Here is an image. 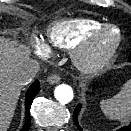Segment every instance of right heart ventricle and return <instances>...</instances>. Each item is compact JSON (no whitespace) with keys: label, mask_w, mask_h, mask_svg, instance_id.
<instances>
[{"label":"right heart ventricle","mask_w":131,"mask_h":131,"mask_svg":"<svg viewBox=\"0 0 131 131\" xmlns=\"http://www.w3.org/2000/svg\"><path fill=\"white\" fill-rule=\"evenodd\" d=\"M104 23L90 18L63 19L52 23L47 29L50 46L70 50L78 45L90 32Z\"/></svg>","instance_id":"e07e8e85"}]
</instances>
